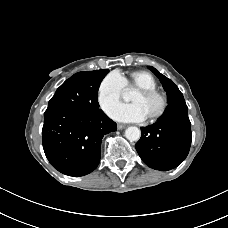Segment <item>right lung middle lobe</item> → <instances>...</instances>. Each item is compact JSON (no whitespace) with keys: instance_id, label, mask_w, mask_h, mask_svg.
<instances>
[{"instance_id":"dd1d6c3e","label":"right lung middle lobe","mask_w":228,"mask_h":228,"mask_svg":"<svg viewBox=\"0 0 228 228\" xmlns=\"http://www.w3.org/2000/svg\"><path fill=\"white\" fill-rule=\"evenodd\" d=\"M109 70L78 72L67 79L55 92L47 109L65 108L93 111L99 108L97 92Z\"/></svg>"}]
</instances>
